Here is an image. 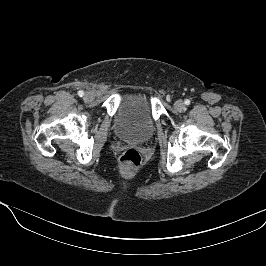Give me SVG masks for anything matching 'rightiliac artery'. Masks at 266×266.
I'll use <instances>...</instances> for the list:
<instances>
[{
	"label": "right iliac artery",
	"mask_w": 266,
	"mask_h": 266,
	"mask_svg": "<svg viewBox=\"0 0 266 266\" xmlns=\"http://www.w3.org/2000/svg\"><path fill=\"white\" fill-rule=\"evenodd\" d=\"M78 95L82 97L84 95V92L82 90L78 91Z\"/></svg>",
	"instance_id": "1"
}]
</instances>
